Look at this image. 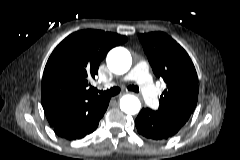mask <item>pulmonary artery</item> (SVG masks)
I'll use <instances>...</instances> for the list:
<instances>
[{
    "label": "pulmonary artery",
    "instance_id": "obj_1",
    "mask_svg": "<svg viewBox=\"0 0 240 160\" xmlns=\"http://www.w3.org/2000/svg\"><path fill=\"white\" fill-rule=\"evenodd\" d=\"M148 70V63L146 61H139L120 82L136 81L144 100L150 107L156 108L158 106V92Z\"/></svg>",
    "mask_w": 240,
    "mask_h": 160
}]
</instances>
